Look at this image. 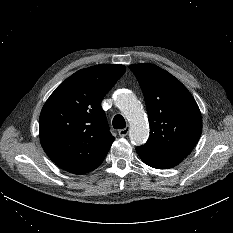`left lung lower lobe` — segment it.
I'll list each match as a JSON object with an SVG mask.
<instances>
[{
    "instance_id": "0a47b994",
    "label": "left lung lower lobe",
    "mask_w": 233,
    "mask_h": 233,
    "mask_svg": "<svg viewBox=\"0 0 233 233\" xmlns=\"http://www.w3.org/2000/svg\"><path fill=\"white\" fill-rule=\"evenodd\" d=\"M136 151L145 164L156 169L172 168L183 160V158L180 157L166 156L159 153H154L142 148L141 146L137 147Z\"/></svg>"
}]
</instances>
